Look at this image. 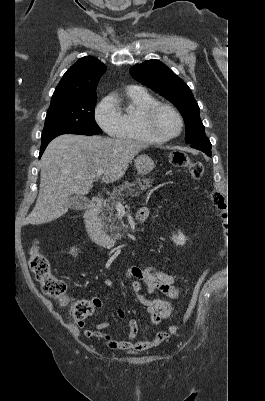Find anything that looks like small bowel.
Segmentation results:
<instances>
[{
	"mask_svg": "<svg viewBox=\"0 0 265 401\" xmlns=\"http://www.w3.org/2000/svg\"><path fill=\"white\" fill-rule=\"evenodd\" d=\"M140 211L144 212L148 217V208H142ZM125 275L128 279L132 280L131 288L135 298L146 308V311L150 315L152 325H158L162 320L167 319L172 315L173 306L169 301L159 298L150 299L146 297L143 293V287L146 288V292L149 295L159 292L169 299H176L180 297L182 293L181 287L177 285L176 275L166 273L151 266L146 268L131 266L126 270ZM102 283L109 288L114 287V282L111 279L105 278L102 280ZM100 305L101 302L99 306ZM117 315L120 319H123L124 311L118 309ZM80 325L83 326V323ZM107 325V321L101 322L95 329H86L84 333L88 337H96L102 340L111 349L133 351H144L155 348L168 338L166 332H159L149 340H135L138 332V324L135 320H130L128 339L117 340L101 330Z\"/></svg>",
	"mask_w": 265,
	"mask_h": 401,
	"instance_id": "c3829d8e",
	"label": "small bowel"
}]
</instances>
